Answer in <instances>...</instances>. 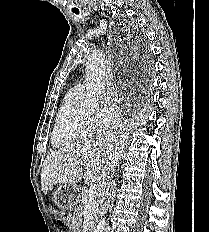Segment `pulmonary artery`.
Here are the masks:
<instances>
[{"label":"pulmonary artery","instance_id":"e3ab8cb5","mask_svg":"<svg viewBox=\"0 0 209 232\" xmlns=\"http://www.w3.org/2000/svg\"><path fill=\"white\" fill-rule=\"evenodd\" d=\"M77 91H80V92H83V85L82 84H77L75 87H74Z\"/></svg>","mask_w":209,"mask_h":232}]
</instances>
